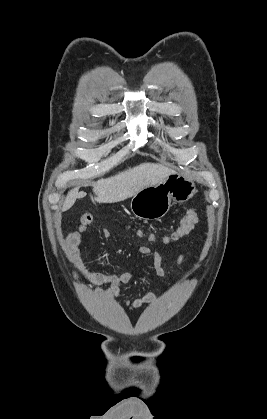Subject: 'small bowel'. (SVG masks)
<instances>
[{"mask_svg":"<svg viewBox=\"0 0 267 419\" xmlns=\"http://www.w3.org/2000/svg\"><path fill=\"white\" fill-rule=\"evenodd\" d=\"M94 217L90 213L84 214L79 222L77 228L71 230L65 240V246L67 250V257L69 261L74 265L76 270L87 280L92 283L99 285H107V288L103 291L102 295L107 298H119L120 288L122 285L128 284L136 275L130 271H124L120 273L109 272H93L87 269L86 263L81 259L79 253V246L82 242L83 235L86 232L89 224L93 221ZM103 238H109L110 232L107 229L101 231ZM138 252L145 257H152L151 274L159 277L166 275L164 267V259L157 251H152L147 246H140ZM184 257L181 255L177 259V264H181ZM158 299L157 295L153 292H149L146 295L134 299H122L123 304L132 308H141L146 305L153 304Z\"/></svg>","mask_w":267,"mask_h":419,"instance_id":"1","label":"small bowel"}]
</instances>
